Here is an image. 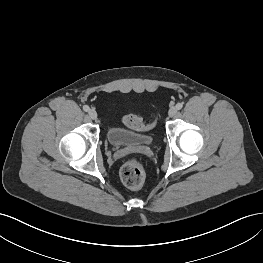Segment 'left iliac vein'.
<instances>
[{"mask_svg": "<svg viewBox=\"0 0 263 263\" xmlns=\"http://www.w3.org/2000/svg\"><path fill=\"white\" fill-rule=\"evenodd\" d=\"M170 117H174L177 114V108L176 107H171L169 112H168Z\"/></svg>", "mask_w": 263, "mask_h": 263, "instance_id": "obj_1", "label": "left iliac vein"}]
</instances>
